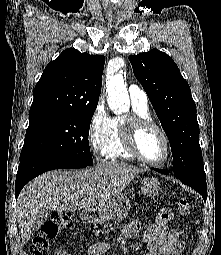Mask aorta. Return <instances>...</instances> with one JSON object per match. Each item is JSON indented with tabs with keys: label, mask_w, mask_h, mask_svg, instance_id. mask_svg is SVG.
I'll use <instances>...</instances> for the list:
<instances>
[{
	"label": "aorta",
	"mask_w": 221,
	"mask_h": 255,
	"mask_svg": "<svg viewBox=\"0 0 221 255\" xmlns=\"http://www.w3.org/2000/svg\"><path fill=\"white\" fill-rule=\"evenodd\" d=\"M107 92L108 106L115 114H121L128 111L130 100L124 78L121 73L110 75L108 77Z\"/></svg>",
	"instance_id": "762f6f07"
}]
</instances>
